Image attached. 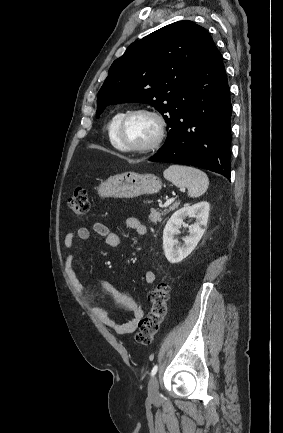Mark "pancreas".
<instances>
[{
  "label": "pancreas",
  "instance_id": "pancreas-1",
  "mask_svg": "<svg viewBox=\"0 0 283 433\" xmlns=\"http://www.w3.org/2000/svg\"><path fill=\"white\" fill-rule=\"evenodd\" d=\"M177 208V204H172L170 208H165V210H156V208H151L148 219H150L151 223H157V221H162V214H167L170 210H175Z\"/></svg>",
  "mask_w": 283,
  "mask_h": 433
}]
</instances>
